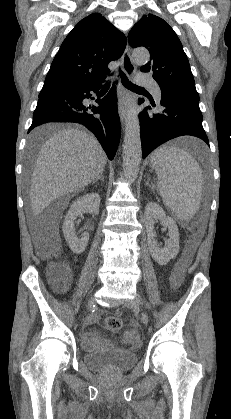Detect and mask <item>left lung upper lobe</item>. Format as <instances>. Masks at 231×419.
Returning a JSON list of instances; mask_svg holds the SVG:
<instances>
[{
    "instance_id": "obj_1",
    "label": "left lung upper lobe",
    "mask_w": 231,
    "mask_h": 419,
    "mask_svg": "<svg viewBox=\"0 0 231 419\" xmlns=\"http://www.w3.org/2000/svg\"><path fill=\"white\" fill-rule=\"evenodd\" d=\"M128 41L131 47L150 51V61L140 70L153 72L162 92L199 97L183 46L163 19L144 15L129 32Z\"/></svg>"
}]
</instances>
